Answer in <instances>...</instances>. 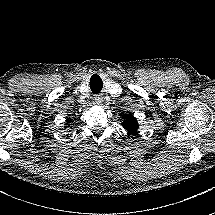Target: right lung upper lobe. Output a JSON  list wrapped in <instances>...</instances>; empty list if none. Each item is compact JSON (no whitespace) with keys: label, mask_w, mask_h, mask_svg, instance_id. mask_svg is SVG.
Returning a JSON list of instances; mask_svg holds the SVG:
<instances>
[{"label":"right lung upper lobe","mask_w":215,"mask_h":215,"mask_svg":"<svg viewBox=\"0 0 215 215\" xmlns=\"http://www.w3.org/2000/svg\"><path fill=\"white\" fill-rule=\"evenodd\" d=\"M72 120L71 119H69V120H67V123H69V122H71Z\"/></svg>","instance_id":"1"}]
</instances>
